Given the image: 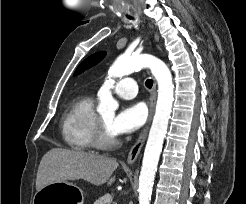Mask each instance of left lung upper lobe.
Listing matches in <instances>:
<instances>
[{
	"label": "left lung upper lobe",
	"mask_w": 246,
	"mask_h": 204,
	"mask_svg": "<svg viewBox=\"0 0 246 204\" xmlns=\"http://www.w3.org/2000/svg\"><path fill=\"white\" fill-rule=\"evenodd\" d=\"M105 54H106L105 51H100V52H97V53L91 55L87 59H85L78 66V68L76 69L74 75H78V74L84 72L85 70L91 68L95 64H97L105 56Z\"/></svg>",
	"instance_id": "obj_1"
}]
</instances>
